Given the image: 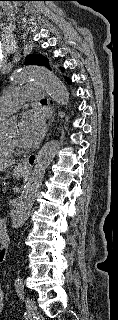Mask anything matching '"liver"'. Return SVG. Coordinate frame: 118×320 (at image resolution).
I'll return each instance as SVG.
<instances>
[{
  "mask_svg": "<svg viewBox=\"0 0 118 320\" xmlns=\"http://www.w3.org/2000/svg\"><path fill=\"white\" fill-rule=\"evenodd\" d=\"M15 164V160L11 159H0V172Z\"/></svg>",
  "mask_w": 118,
  "mask_h": 320,
  "instance_id": "liver-1",
  "label": "liver"
}]
</instances>
